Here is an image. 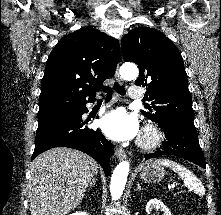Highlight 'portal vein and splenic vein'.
<instances>
[{"mask_svg":"<svg viewBox=\"0 0 221 215\" xmlns=\"http://www.w3.org/2000/svg\"><path fill=\"white\" fill-rule=\"evenodd\" d=\"M174 188H175V185H174V184H172V185L169 186V189H174Z\"/></svg>","mask_w":221,"mask_h":215,"instance_id":"obj_1","label":"portal vein and splenic vein"}]
</instances>
